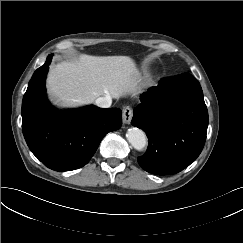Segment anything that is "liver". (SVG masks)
I'll return each instance as SVG.
<instances>
[{"instance_id":"6515ba94","label":"liver","mask_w":243,"mask_h":243,"mask_svg":"<svg viewBox=\"0 0 243 243\" xmlns=\"http://www.w3.org/2000/svg\"><path fill=\"white\" fill-rule=\"evenodd\" d=\"M139 70L128 56L79 55L52 68L47 90L61 107L74 108L93 103L100 96L119 99L134 93Z\"/></svg>"}]
</instances>
